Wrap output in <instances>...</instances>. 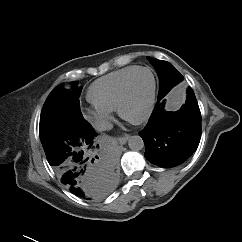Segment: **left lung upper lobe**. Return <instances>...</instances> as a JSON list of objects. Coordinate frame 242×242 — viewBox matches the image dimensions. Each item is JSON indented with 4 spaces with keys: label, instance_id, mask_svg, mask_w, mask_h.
<instances>
[{
    "label": "left lung upper lobe",
    "instance_id": "5c2ea615",
    "mask_svg": "<svg viewBox=\"0 0 242 242\" xmlns=\"http://www.w3.org/2000/svg\"><path fill=\"white\" fill-rule=\"evenodd\" d=\"M147 59L154 66L159 76L160 88L158 101H160L177 83L183 80V76L172 64L167 61L158 60L151 57H147Z\"/></svg>",
    "mask_w": 242,
    "mask_h": 242
}]
</instances>
